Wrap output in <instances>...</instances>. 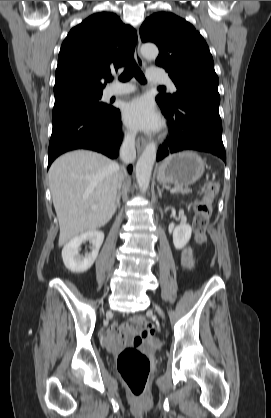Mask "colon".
<instances>
[{"mask_svg":"<svg viewBox=\"0 0 271 418\" xmlns=\"http://www.w3.org/2000/svg\"><path fill=\"white\" fill-rule=\"evenodd\" d=\"M218 190V183L207 181L203 186L202 197L196 203V217L193 226L196 240L200 244L205 241V230L213 212V198ZM138 322L144 327L142 337L148 338L154 335V327L144 318L139 317ZM117 368L132 395L142 396L146 390L151 369L148 356L134 347H126L118 355Z\"/></svg>","mask_w":271,"mask_h":418,"instance_id":"1","label":"colon"}]
</instances>
